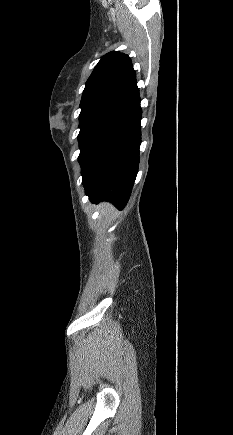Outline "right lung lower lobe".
I'll return each instance as SVG.
<instances>
[{
	"mask_svg": "<svg viewBox=\"0 0 233 435\" xmlns=\"http://www.w3.org/2000/svg\"><path fill=\"white\" fill-rule=\"evenodd\" d=\"M141 107L137 105L92 149L81 163L86 195L124 208L138 172Z\"/></svg>",
	"mask_w": 233,
	"mask_h": 435,
	"instance_id": "right-lung-lower-lobe-1",
	"label": "right lung lower lobe"
}]
</instances>
